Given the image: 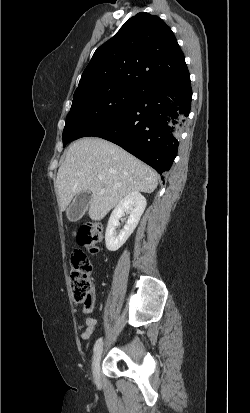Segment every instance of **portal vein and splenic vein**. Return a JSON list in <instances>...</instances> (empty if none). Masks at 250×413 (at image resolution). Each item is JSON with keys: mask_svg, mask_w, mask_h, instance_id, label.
<instances>
[{"mask_svg": "<svg viewBox=\"0 0 250 413\" xmlns=\"http://www.w3.org/2000/svg\"><path fill=\"white\" fill-rule=\"evenodd\" d=\"M99 179H102V176H99Z\"/></svg>", "mask_w": 250, "mask_h": 413, "instance_id": "1", "label": "portal vein and splenic vein"}]
</instances>
